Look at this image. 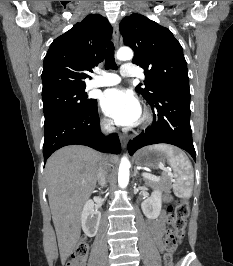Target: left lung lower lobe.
<instances>
[{
    "label": "left lung lower lobe",
    "mask_w": 233,
    "mask_h": 266,
    "mask_svg": "<svg viewBox=\"0 0 233 266\" xmlns=\"http://www.w3.org/2000/svg\"><path fill=\"white\" fill-rule=\"evenodd\" d=\"M149 104L154 116L153 125L129 141V154L146 145L168 143L186 150L196 161L190 127V90L166 92Z\"/></svg>",
    "instance_id": "1"
}]
</instances>
